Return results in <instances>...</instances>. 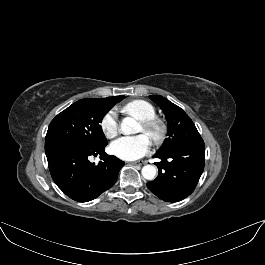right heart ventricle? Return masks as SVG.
<instances>
[{
	"label": "right heart ventricle",
	"mask_w": 265,
	"mask_h": 265,
	"mask_svg": "<svg viewBox=\"0 0 265 265\" xmlns=\"http://www.w3.org/2000/svg\"><path fill=\"white\" fill-rule=\"evenodd\" d=\"M123 110L126 113L136 116L141 121L156 117L154 106L145 100H132L124 105Z\"/></svg>",
	"instance_id": "obj_1"
}]
</instances>
